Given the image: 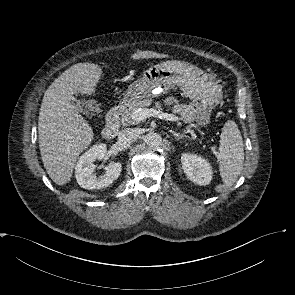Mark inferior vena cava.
Returning a JSON list of instances; mask_svg holds the SVG:
<instances>
[{
	"label": "inferior vena cava",
	"mask_w": 295,
	"mask_h": 295,
	"mask_svg": "<svg viewBox=\"0 0 295 295\" xmlns=\"http://www.w3.org/2000/svg\"><path fill=\"white\" fill-rule=\"evenodd\" d=\"M139 134H140V132L136 128L124 129L119 132L118 140L120 142H124V143L131 142V141H134L135 139H137Z\"/></svg>",
	"instance_id": "602c4592"
}]
</instances>
